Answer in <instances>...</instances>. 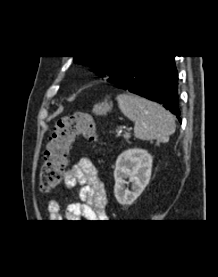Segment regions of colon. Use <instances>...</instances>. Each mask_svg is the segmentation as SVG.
<instances>
[{"instance_id": "5ec220e1", "label": "colon", "mask_w": 218, "mask_h": 277, "mask_svg": "<svg viewBox=\"0 0 218 277\" xmlns=\"http://www.w3.org/2000/svg\"><path fill=\"white\" fill-rule=\"evenodd\" d=\"M79 136L93 143L99 141V133L93 117L87 112H76L60 118L49 138L44 162L40 171V188L49 191L62 179L69 149Z\"/></svg>"}]
</instances>
